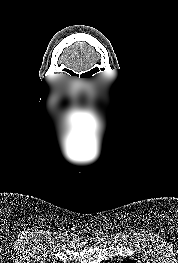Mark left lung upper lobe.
<instances>
[{
	"mask_svg": "<svg viewBox=\"0 0 178 263\" xmlns=\"http://www.w3.org/2000/svg\"><path fill=\"white\" fill-rule=\"evenodd\" d=\"M121 263H135V262L132 260H123Z\"/></svg>",
	"mask_w": 178,
	"mask_h": 263,
	"instance_id": "1",
	"label": "left lung upper lobe"
}]
</instances>
